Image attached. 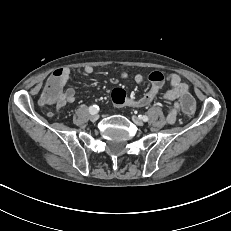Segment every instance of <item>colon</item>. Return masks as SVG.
I'll list each match as a JSON object with an SVG mask.
<instances>
[{
	"instance_id": "colon-1",
	"label": "colon",
	"mask_w": 231,
	"mask_h": 231,
	"mask_svg": "<svg viewBox=\"0 0 231 231\" xmlns=\"http://www.w3.org/2000/svg\"><path fill=\"white\" fill-rule=\"evenodd\" d=\"M64 77V72L59 68L50 69L47 72V81L44 84V89L40 94L41 103L43 105L54 104L58 97L60 85L58 84ZM179 107L183 110L184 115L192 116L196 111V101L194 96L188 94L186 90L181 89L178 92ZM112 100L117 105H124L127 101L126 92L120 88H116L111 94Z\"/></svg>"
}]
</instances>
